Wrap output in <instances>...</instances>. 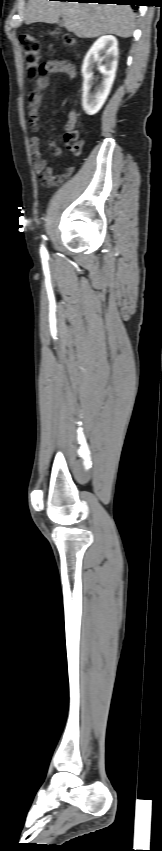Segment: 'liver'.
I'll use <instances>...</instances> for the list:
<instances>
[{"label":"liver","mask_w":162,"mask_h":851,"mask_svg":"<svg viewBox=\"0 0 162 851\" xmlns=\"http://www.w3.org/2000/svg\"><path fill=\"white\" fill-rule=\"evenodd\" d=\"M60 17L64 27L80 38L105 34L128 38L134 30L135 15L129 5L29 0L24 20L28 25L53 24Z\"/></svg>","instance_id":"obj_1"}]
</instances>
